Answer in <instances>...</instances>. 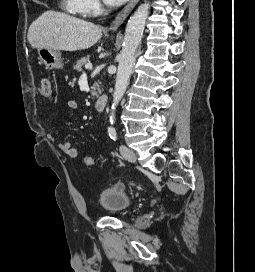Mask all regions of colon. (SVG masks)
I'll return each instance as SVG.
<instances>
[{"label":"colon","mask_w":255,"mask_h":272,"mask_svg":"<svg viewBox=\"0 0 255 272\" xmlns=\"http://www.w3.org/2000/svg\"><path fill=\"white\" fill-rule=\"evenodd\" d=\"M39 92L44 99L52 100L54 98L52 84L48 78L42 79ZM82 163L87 169H91L94 161L91 156H85Z\"/></svg>","instance_id":"obj_1"}]
</instances>
